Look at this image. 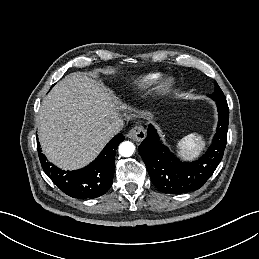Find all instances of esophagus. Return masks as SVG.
<instances>
[{
	"label": "esophagus",
	"instance_id": "1",
	"mask_svg": "<svg viewBox=\"0 0 259 259\" xmlns=\"http://www.w3.org/2000/svg\"><path fill=\"white\" fill-rule=\"evenodd\" d=\"M128 137L137 143L142 142L146 137L144 127L142 125H137V126L133 127L129 131Z\"/></svg>",
	"mask_w": 259,
	"mask_h": 259
}]
</instances>
